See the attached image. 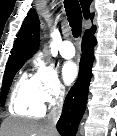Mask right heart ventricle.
I'll list each match as a JSON object with an SVG mask.
<instances>
[{"instance_id":"right-heart-ventricle-1","label":"right heart ventricle","mask_w":117,"mask_h":136,"mask_svg":"<svg viewBox=\"0 0 117 136\" xmlns=\"http://www.w3.org/2000/svg\"><path fill=\"white\" fill-rule=\"evenodd\" d=\"M9 109L13 114L38 118L44 114V106L34 93L32 77L21 74L11 92Z\"/></svg>"}]
</instances>
